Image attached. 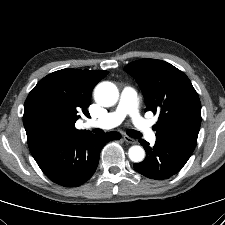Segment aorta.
<instances>
[{"label": "aorta", "mask_w": 225, "mask_h": 225, "mask_svg": "<svg viewBox=\"0 0 225 225\" xmlns=\"http://www.w3.org/2000/svg\"><path fill=\"white\" fill-rule=\"evenodd\" d=\"M95 101L104 107L114 106L119 98V91L112 82L104 81L99 83L94 90ZM128 156L133 162H141L145 157V151L141 146L134 145L128 150Z\"/></svg>", "instance_id": "aorta-1"}]
</instances>
